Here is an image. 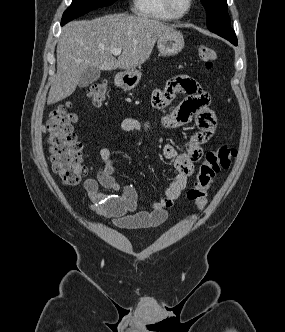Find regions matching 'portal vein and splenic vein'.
<instances>
[{
	"label": "portal vein and splenic vein",
	"mask_w": 285,
	"mask_h": 332,
	"mask_svg": "<svg viewBox=\"0 0 285 332\" xmlns=\"http://www.w3.org/2000/svg\"><path fill=\"white\" fill-rule=\"evenodd\" d=\"M110 51L113 55L118 56L121 54L122 50H121V48H114V49H111Z\"/></svg>",
	"instance_id": "obj_1"
}]
</instances>
